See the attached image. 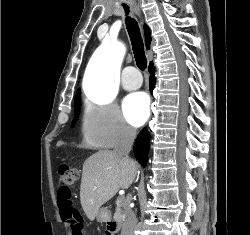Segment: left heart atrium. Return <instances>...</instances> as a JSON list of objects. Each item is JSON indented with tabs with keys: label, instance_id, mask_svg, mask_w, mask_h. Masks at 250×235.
Masks as SVG:
<instances>
[{
	"label": "left heart atrium",
	"instance_id": "1",
	"mask_svg": "<svg viewBox=\"0 0 250 235\" xmlns=\"http://www.w3.org/2000/svg\"><path fill=\"white\" fill-rule=\"evenodd\" d=\"M126 119L134 126L142 125L149 116V99L143 92L127 96L123 102Z\"/></svg>",
	"mask_w": 250,
	"mask_h": 235
}]
</instances>
